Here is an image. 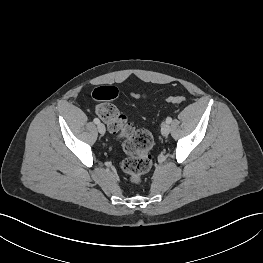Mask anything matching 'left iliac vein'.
I'll list each match as a JSON object with an SVG mask.
<instances>
[{
    "label": "left iliac vein",
    "mask_w": 263,
    "mask_h": 263,
    "mask_svg": "<svg viewBox=\"0 0 263 263\" xmlns=\"http://www.w3.org/2000/svg\"><path fill=\"white\" fill-rule=\"evenodd\" d=\"M161 133L163 136H168L170 133V125L167 122L162 123L161 125Z\"/></svg>",
    "instance_id": "obj_1"
}]
</instances>
